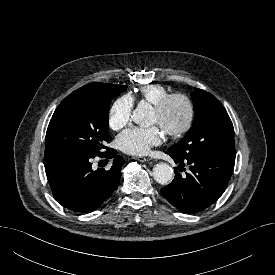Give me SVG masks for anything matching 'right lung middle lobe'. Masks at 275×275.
Listing matches in <instances>:
<instances>
[{
    "label": "right lung middle lobe",
    "mask_w": 275,
    "mask_h": 275,
    "mask_svg": "<svg viewBox=\"0 0 275 275\" xmlns=\"http://www.w3.org/2000/svg\"><path fill=\"white\" fill-rule=\"evenodd\" d=\"M127 86L111 85L67 96L55 110L47 132L45 155L54 153L96 157L108 149L109 104Z\"/></svg>",
    "instance_id": "1"
}]
</instances>
